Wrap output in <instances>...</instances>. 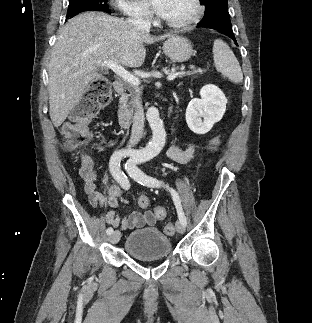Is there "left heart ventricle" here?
I'll return each instance as SVG.
<instances>
[{"mask_svg":"<svg viewBox=\"0 0 312 323\" xmlns=\"http://www.w3.org/2000/svg\"><path fill=\"white\" fill-rule=\"evenodd\" d=\"M167 18H184V14H195V2L191 0H167Z\"/></svg>","mask_w":312,"mask_h":323,"instance_id":"b2bd125f","label":"left heart ventricle"}]
</instances>
